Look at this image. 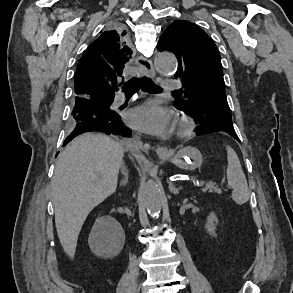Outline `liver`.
<instances>
[{
	"mask_svg": "<svg viewBox=\"0 0 293 293\" xmlns=\"http://www.w3.org/2000/svg\"><path fill=\"white\" fill-rule=\"evenodd\" d=\"M124 148L111 138L85 133L61 153L51 182L58 238L74 257L89 213L116 191Z\"/></svg>",
	"mask_w": 293,
	"mask_h": 293,
	"instance_id": "obj_1",
	"label": "liver"
}]
</instances>
